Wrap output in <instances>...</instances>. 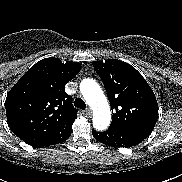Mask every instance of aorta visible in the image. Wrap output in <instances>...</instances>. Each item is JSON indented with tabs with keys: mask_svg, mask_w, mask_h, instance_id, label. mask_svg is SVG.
Segmentation results:
<instances>
[{
	"mask_svg": "<svg viewBox=\"0 0 182 182\" xmlns=\"http://www.w3.org/2000/svg\"><path fill=\"white\" fill-rule=\"evenodd\" d=\"M80 91L93 110V126L96 130H105L110 124V107L100 86L94 79H84Z\"/></svg>",
	"mask_w": 182,
	"mask_h": 182,
	"instance_id": "1",
	"label": "aorta"
}]
</instances>
